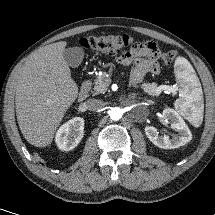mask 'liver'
<instances>
[{
	"instance_id": "6515ba94",
	"label": "liver",
	"mask_w": 215,
	"mask_h": 215,
	"mask_svg": "<svg viewBox=\"0 0 215 215\" xmlns=\"http://www.w3.org/2000/svg\"><path fill=\"white\" fill-rule=\"evenodd\" d=\"M65 41L34 51L14 74L16 116L24 138L36 147H46L67 109L78 96L63 57Z\"/></svg>"
}]
</instances>
